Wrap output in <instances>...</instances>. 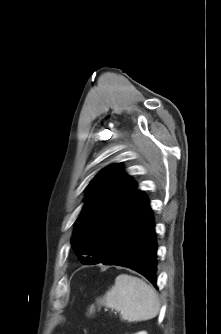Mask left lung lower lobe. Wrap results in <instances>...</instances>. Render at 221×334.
Here are the masks:
<instances>
[{"label":"left lung lower lobe","instance_id":"obj_1","mask_svg":"<svg viewBox=\"0 0 221 334\" xmlns=\"http://www.w3.org/2000/svg\"><path fill=\"white\" fill-rule=\"evenodd\" d=\"M149 201L136 191L100 238L92 264L128 267L146 277L155 288L157 242Z\"/></svg>","mask_w":221,"mask_h":334}]
</instances>
